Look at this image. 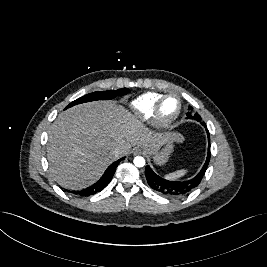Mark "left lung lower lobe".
I'll use <instances>...</instances> for the list:
<instances>
[{"label": "left lung lower lobe", "mask_w": 267, "mask_h": 267, "mask_svg": "<svg viewBox=\"0 0 267 267\" xmlns=\"http://www.w3.org/2000/svg\"><path fill=\"white\" fill-rule=\"evenodd\" d=\"M202 125L206 127L205 123L203 122ZM207 131L208 136V154L200 172L192 179L187 181H170L162 178L161 176L157 175L149 165L145 168V176L149 186L157 191L158 193L168 196V197H181L188 195L191 191H193L201 182L207 166L210 161V136L209 132Z\"/></svg>", "instance_id": "left-lung-lower-lobe-1"}]
</instances>
